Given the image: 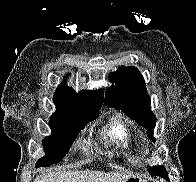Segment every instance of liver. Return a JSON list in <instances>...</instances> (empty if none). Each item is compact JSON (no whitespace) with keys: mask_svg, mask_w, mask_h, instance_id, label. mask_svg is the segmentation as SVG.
I'll use <instances>...</instances> for the list:
<instances>
[{"mask_svg":"<svg viewBox=\"0 0 196 182\" xmlns=\"http://www.w3.org/2000/svg\"><path fill=\"white\" fill-rule=\"evenodd\" d=\"M130 175L102 171H57L36 177L34 182H125Z\"/></svg>","mask_w":196,"mask_h":182,"instance_id":"6515ba94","label":"liver"}]
</instances>
